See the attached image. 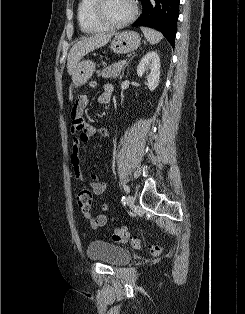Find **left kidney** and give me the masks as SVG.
I'll return each mask as SVG.
<instances>
[{
    "label": "left kidney",
    "instance_id": "5707ae66",
    "mask_svg": "<svg viewBox=\"0 0 245 314\" xmlns=\"http://www.w3.org/2000/svg\"><path fill=\"white\" fill-rule=\"evenodd\" d=\"M148 70H150L146 76L148 88L153 91L159 85L160 80V58L156 51H149L143 56L137 67V74L143 77Z\"/></svg>",
    "mask_w": 245,
    "mask_h": 314
}]
</instances>
